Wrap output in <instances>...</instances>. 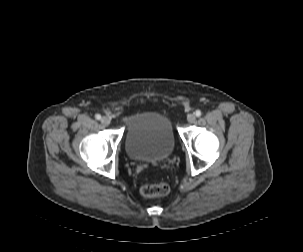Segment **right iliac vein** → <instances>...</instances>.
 Instances as JSON below:
<instances>
[{
    "label": "right iliac vein",
    "instance_id": "right-iliac-vein-1",
    "mask_svg": "<svg viewBox=\"0 0 303 252\" xmlns=\"http://www.w3.org/2000/svg\"><path fill=\"white\" fill-rule=\"evenodd\" d=\"M100 121L105 126H108L110 124V118L106 116H103Z\"/></svg>",
    "mask_w": 303,
    "mask_h": 252
}]
</instances>
